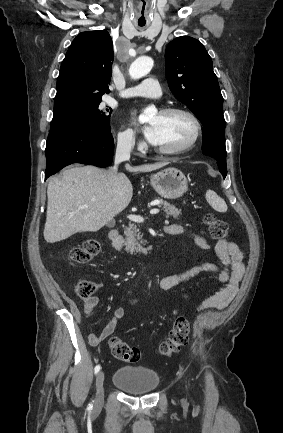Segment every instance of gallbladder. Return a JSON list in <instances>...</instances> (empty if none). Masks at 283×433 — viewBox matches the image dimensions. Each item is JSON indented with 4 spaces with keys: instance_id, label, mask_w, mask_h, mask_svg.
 I'll return each instance as SVG.
<instances>
[{
    "instance_id": "obj_1",
    "label": "gallbladder",
    "mask_w": 283,
    "mask_h": 433,
    "mask_svg": "<svg viewBox=\"0 0 283 433\" xmlns=\"http://www.w3.org/2000/svg\"><path fill=\"white\" fill-rule=\"evenodd\" d=\"M115 223L114 221H111V223H108V227H114Z\"/></svg>"
}]
</instances>
